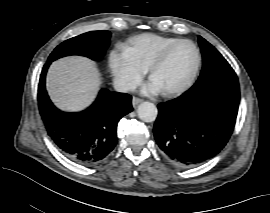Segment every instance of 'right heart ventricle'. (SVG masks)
Masks as SVG:
<instances>
[{"mask_svg": "<svg viewBox=\"0 0 270 213\" xmlns=\"http://www.w3.org/2000/svg\"><path fill=\"white\" fill-rule=\"evenodd\" d=\"M180 40L179 38L143 34L130 40L128 46L123 47V53L133 64L148 68L150 62L167 46Z\"/></svg>", "mask_w": 270, "mask_h": 213, "instance_id": "right-heart-ventricle-1", "label": "right heart ventricle"}]
</instances>
